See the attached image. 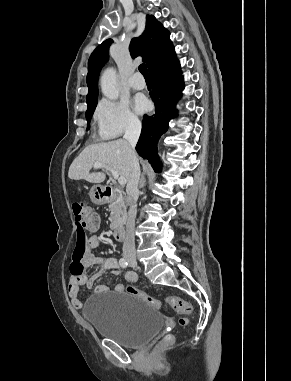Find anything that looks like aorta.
Returning a JSON list of instances; mask_svg holds the SVG:
<instances>
[{"label":"aorta","mask_w":291,"mask_h":381,"mask_svg":"<svg viewBox=\"0 0 291 381\" xmlns=\"http://www.w3.org/2000/svg\"><path fill=\"white\" fill-rule=\"evenodd\" d=\"M101 90L104 96L111 100H116L119 97L117 87V73L113 68H107L101 77Z\"/></svg>","instance_id":"1"}]
</instances>
